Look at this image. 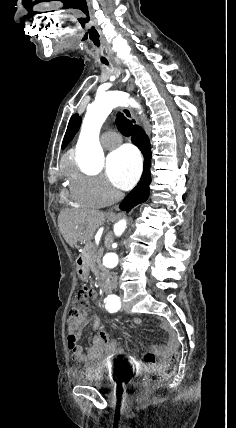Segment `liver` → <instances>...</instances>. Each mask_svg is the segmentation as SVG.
Masks as SVG:
<instances>
[{
  "label": "liver",
  "instance_id": "6515ba94",
  "mask_svg": "<svg viewBox=\"0 0 236 428\" xmlns=\"http://www.w3.org/2000/svg\"><path fill=\"white\" fill-rule=\"evenodd\" d=\"M106 222L105 214L97 210L87 212H60L58 216L59 230L67 244L73 248L77 242L91 240L95 230Z\"/></svg>",
  "mask_w": 236,
  "mask_h": 428
}]
</instances>
